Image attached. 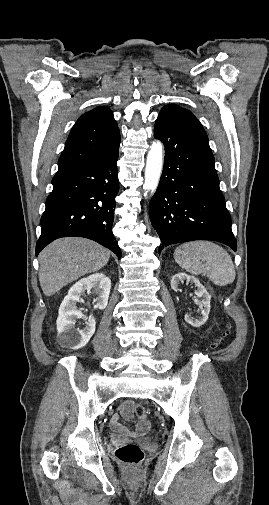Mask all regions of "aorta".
<instances>
[{
    "label": "aorta",
    "mask_w": 269,
    "mask_h": 505,
    "mask_svg": "<svg viewBox=\"0 0 269 505\" xmlns=\"http://www.w3.org/2000/svg\"><path fill=\"white\" fill-rule=\"evenodd\" d=\"M163 168V145L160 141L153 142L147 155L145 168L144 195L154 193L158 187Z\"/></svg>",
    "instance_id": "762f6f07"
}]
</instances>
